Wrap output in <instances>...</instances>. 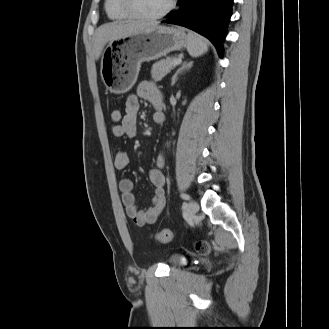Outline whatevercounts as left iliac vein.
Instances as JSON below:
<instances>
[{
  "label": "left iliac vein",
  "mask_w": 329,
  "mask_h": 329,
  "mask_svg": "<svg viewBox=\"0 0 329 329\" xmlns=\"http://www.w3.org/2000/svg\"><path fill=\"white\" fill-rule=\"evenodd\" d=\"M187 211H188L189 217L192 219L199 211V204L196 201L191 200L188 203Z\"/></svg>",
  "instance_id": "4c4485c4"
}]
</instances>
